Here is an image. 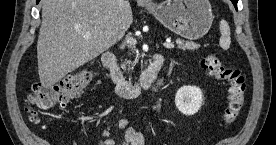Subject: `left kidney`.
<instances>
[{
	"label": "left kidney",
	"mask_w": 276,
	"mask_h": 145,
	"mask_svg": "<svg viewBox=\"0 0 276 145\" xmlns=\"http://www.w3.org/2000/svg\"><path fill=\"white\" fill-rule=\"evenodd\" d=\"M203 102V93L196 86H183L175 96V104L184 115H194L199 111Z\"/></svg>",
	"instance_id": "5707ae66"
}]
</instances>
